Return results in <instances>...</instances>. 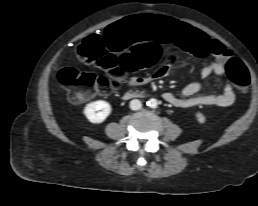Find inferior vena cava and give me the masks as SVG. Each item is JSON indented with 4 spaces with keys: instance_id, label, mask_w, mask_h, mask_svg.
Listing matches in <instances>:
<instances>
[{
    "instance_id": "1",
    "label": "inferior vena cava",
    "mask_w": 258,
    "mask_h": 206,
    "mask_svg": "<svg viewBox=\"0 0 258 206\" xmlns=\"http://www.w3.org/2000/svg\"><path fill=\"white\" fill-rule=\"evenodd\" d=\"M141 107H142V103H141V101L138 100V99H134V100H132V101L130 102V108H131L132 110H139V109H141Z\"/></svg>"
}]
</instances>
